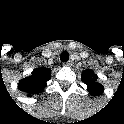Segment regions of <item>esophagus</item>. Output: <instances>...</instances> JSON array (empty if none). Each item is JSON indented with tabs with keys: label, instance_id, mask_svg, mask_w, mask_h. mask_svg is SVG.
<instances>
[{
	"label": "esophagus",
	"instance_id": "esophagus-1",
	"mask_svg": "<svg viewBox=\"0 0 124 124\" xmlns=\"http://www.w3.org/2000/svg\"><path fill=\"white\" fill-rule=\"evenodd\" d=\"M65 66H68V67H71L73 65V62L72 61H68V62H65L63 63Z\"/></svg>",
	"mask_w": 124,
	"mask_h": 124
}]
</instances>
